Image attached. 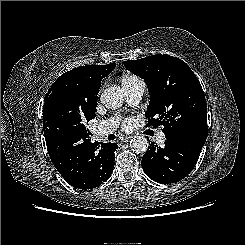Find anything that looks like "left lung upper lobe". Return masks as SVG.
Masks as SVG:
<instances>
[{"label": "left lung upper lobe", "instance_id": "5c2ea615", "mask_svg": "<svg viewBox=\"0 0 245 245\" xmlns=\"http://www.w3.org/2000/svg\"><path fill=\"white\" fill-rule=\"evenodd\" d=\"M123 63L147 83L151 97L146 111L148 127L163 125L162 131L167 138L187 135L207 137L204 92L184 61L158 54Z\"/></svg>", "mask_w": 245, "mask_h": 245}]
</instances>
